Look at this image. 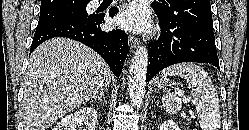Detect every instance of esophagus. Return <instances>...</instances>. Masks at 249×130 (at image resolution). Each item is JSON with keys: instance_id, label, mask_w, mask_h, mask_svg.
Returning <instances> with one entry per match:
<instances>
[{"instance_id": "esophagus-1", "label": "esophagus", "mask_w": 249, "mask_h": 130, "mask_svg": "<svg viewBox=\"0 0 249 130\" xmlns=\"http://www.w3.org/2000/svg\"><path fill=\"white\" fill-rule=\"evenodd\" d=\"M128 39H129V44L132 48H137L140 44V41L137 37L133 36V35H129L128 36Z\"/></svg>"}]
</instances>
